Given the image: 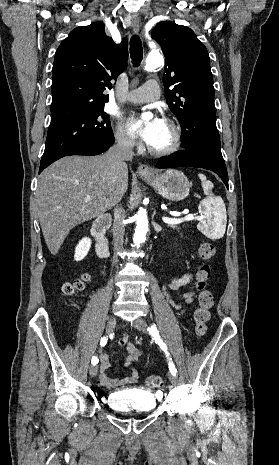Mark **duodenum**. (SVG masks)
<instances>
[{"label":"duodenum","instance_id":"1","mask_svg":"<svg viewBox=\"0 0 279 465\" xmlns=\"http://www.w3.org/2000/svg\"><path fill=\"white\" fill-rule=\"evenodd\" d=\"M110 222L111 216L109 214H104L96 219L91 227V234L96 241V253L102 259H106L109 256V245L105 237V232Z\"/></svg>","mask_w":279,"mask_h":465}]
</instances>
